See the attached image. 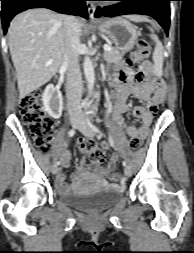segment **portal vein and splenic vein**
I'll return each instance as SVG.
<instances>
[{
  "mask_svg": "<svg viewBox=\"0 0 194 253\" xmlns=\"http://www.w3.org/2000/svg\"><path fill=\"white\" fill-rule=\"evenodd\" d=\"M103 49H104V51H110V50H111V47L108 46V45H104V46H103ZM52 62H53V60H52V59H49V60L47 61L46 65H50Z\"/></svg>",
  "mask_w": 194,
  "mask_h": 253,
  "instance_id": "18ae733b",
  "label": "portal vein and splenic vein"
}]
</instances>
